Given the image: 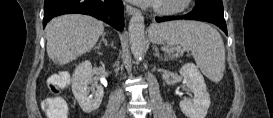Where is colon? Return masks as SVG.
<instances>
[{"instance_id": "1", "label": "colon", "mask_w": 273, "mask_h": 118, "mask_svg": "<svg viewBox=\"0 0 273 118\" xmlns=\"http://www.w3.org/2000/svg\"><path fill=\"white\" fill-rule=\"evenodd\" d=\"M51 85L58 91L62 82L50 79ZM42 108L49 118H66L68 107L65 99L59 94H54L42 101Z\"/></svg>"}]
</instances>
